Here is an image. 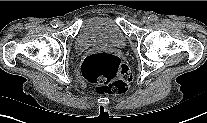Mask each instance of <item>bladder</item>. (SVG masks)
<instances>
[{
    "label": "bladder",
    "instance_id": "1",
    "mask_svg": "<svg viewBox=\"0 0 207 123\" xmlns=\"http://www.w3.org/2000/svg\"><path fill=\"white\" fill-rule=\"evenodd\" d=\"M126 37L117 20L92 17L85 20L78 31L75 46L80 52L91 49H121Z\"/></svg>",
    "mask_w": 207,
    "mask_h": 123
}]
</instances>
